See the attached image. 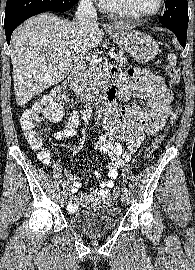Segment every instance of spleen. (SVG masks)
<instances>
[{"mask_svg": "<svg viewBox=\"0 0 195 270\" xmlns=\"http://www.w3.org/2000/svg\"><path fill=\"white\" fill-rule=\"evenodd\" d=\"M168 48H169V46H168ZM167 61L169 62V64L172 67L175 66L176 63H177V57H176V55L171 52L170 54H168Z\"/></svg>", "mask_w": 195, "mask_h": 270, "instance_id": "1", "label": "spleen"}]
</instances>
